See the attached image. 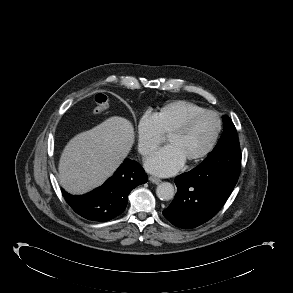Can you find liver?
I'll use <instances>...</instances> for the list:
<instances>
[{
  "instance_id": "liver-1",
  "label": "liver",
  "mask_w": 293,
  "mask_h": 293,
  "mask_svg": "<svg viewBox=\"0 0 293 293\" xmlns=\"http://www.w3.org/2000/svg\"><path fill=\"white\" fill-rule=\"evenodd\" d=\"M134 143L132 123L113 116L77 134L59 161V181L69 193L83 194L105 182L127 157Z\"/></svg>"
}]
</instances>
